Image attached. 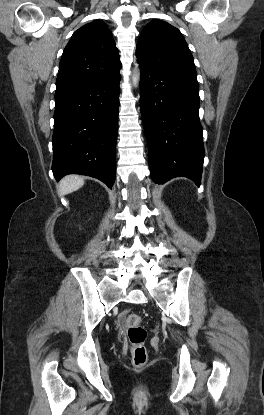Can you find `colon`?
Returning <instances> with one entry per match:
<instances>
[{
	"label": "colon",
	"mask_w": 264,
	"mask_h": 415,
	"mask_svg": "<svg viewBox=\"0 0 264 415\" xmlns=\"http://www.w3.org/2000/svg\"><path fill=\"white\" fill-rule=\"evenodd\" d=\"M142 318L137 313H130L126 317L128 337L131 343L132 362L135 367H143L148 360L145 348L146 330L141 325Z\"/></svg>",
	"instance_id": "5ec220e1"
}]
</instances>
